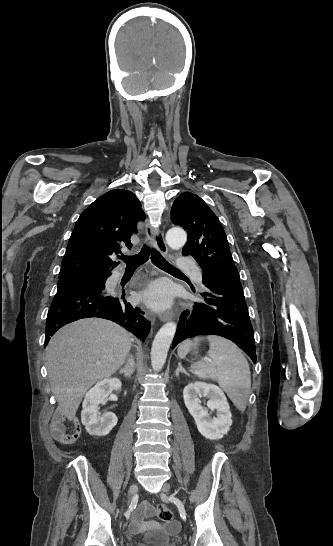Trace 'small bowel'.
Masks as SVG:
<instances>
[{
    "label": "small bowel",
    "instance_id": "c3829d8e",
    "mask_svg": "<svg viewBox=\"0 0 333 546\" xmlns=\"http://www.w3.org/2000/svg\"><path fill=\"white\" fill-rule=\"evenodd\" d=\"M51 433L55 440L63 444H70L77 440L81 433V426L76 423L72 433L67 434L64 421L62 418L55 417L51 421ZM154 514L153 507L148 503H142L139 508L132 514L130 522V530L132 532H140L146 527L144 522L145 517H150ZM176 527L175 524L168 525V529L172 530Z\"/></svg>",
    "mask_w": 333,
    "mask_h": 546
}]
</instances>
